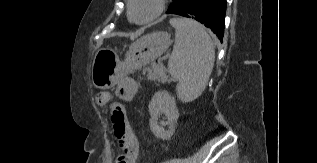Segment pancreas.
Instances as JSON below:
<instances>
[{
    "label": "pancreas",
    "mask_w": 317,
    "mask_h": 163,
    "mask_svg": "<svg viewBox=\"0 0 317 163\" xmlns=\"http://www.w3.org/2000/svg\"><path fill=\"white\" fill-rule=\"evenodd\" d=\"M148 72L149 79L156 80L158 82H165L167 80L166 69L160 64L151 63L150 66L144 69Z\"/></svg>",
    "instance_id": "1"
}]
</instances>
